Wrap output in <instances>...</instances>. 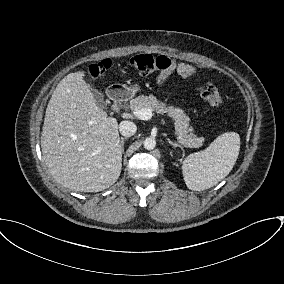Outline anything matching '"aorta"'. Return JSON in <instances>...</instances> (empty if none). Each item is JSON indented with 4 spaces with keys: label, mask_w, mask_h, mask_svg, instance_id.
I'll return each instance as SVG.
<instances>
[{
    "label": "aorta",
    "mask_w": 284,
    "mask_h": 284,
    "mask_svg": "<svg viewBox=\"0 0 284 284\" xmlns=\"http://www.w3.org/2000/svg\"><path fill=\"white\" fill-rule=\"evenodd\" d=\"M144 148L147 150H153L156 147V141L152 137H148L143 142Z\"/></svg>",
    "instance_id": "obj_1"
}]
</instances>
